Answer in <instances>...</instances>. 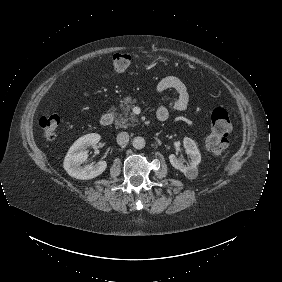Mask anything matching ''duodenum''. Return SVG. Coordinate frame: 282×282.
Here are the masks:
<instances>
[{"mask_svg": "<svg viewBox=\"0 0 282 282\" xmlns=\"http://www.w3.org/2000/svg\"><path fill=\"white\" fill-rule=\"evenodd\" d=\"M113 121H114V113L108 112L101 117L100 124L103 127H108L113 123Z\"/></svg>", "mask_w": 282, "mask_h": 282, "instance_id": "obj_1", "label": "duodenum"}]
</instances>
